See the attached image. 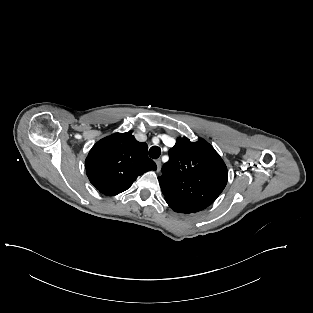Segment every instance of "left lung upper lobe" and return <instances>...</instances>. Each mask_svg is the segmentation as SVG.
<instances>
[{"instance_id": "left-lung-upper-lobe-1", "label": "left lung upper lobe", "mask_w": 313, "mask_h": 313, "mask_svg": "<svg viewBox=\"0 0 313 313\" xmlns=\"http://www.w3.org/2000/svg\"><path fill=\"white\" fill-rule=\"evenodd\" d=\"M227 178L224 161L208 142L179 137L158 180L166 202L198 212L217 199Z\"/></svg>"}]
</instances>
